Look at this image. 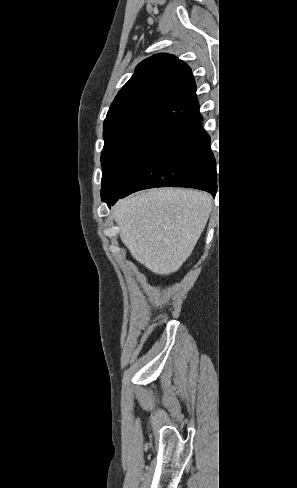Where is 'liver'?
I'll return each mask as SVG.
<instances>
[{"label": "liver", "instance_id": "liver-1", "mask_svg": "<svg viewBox=\"0 0 297 488\" xmlns=\"http://www.w3.org/2000/svg\"><path fill=\"white\" fill-rule=\"evenodd\" d=\"M211 208L207 193L161 188L121 199L113 211L132 257L153 273L167 275L191 255Z\"/></svg>", "mask_w": 297, "mask_h": 488}]
</instances>
